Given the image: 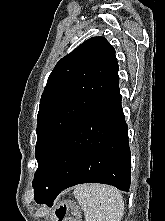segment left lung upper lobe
Wrapping results in <instances>:
<instances>
[{
  "label": "left lung upper lobe",
  "instance_id": "left-lung-upper-lobe-1",
  "mask_svg": "<svg viewBox=\"0 0 165 221\" xmlns=\"http://www.w3.org/2000/svg\"><path fill=\"white\" fill-rule=\"evenodd\" d=\"M115 49L92 37L63 57L48 77L37 117L36 186L58 144L118 78Z\"/></svg>",
  "mask_w": 165,
  "mask_h": 221
}]
</instances>
